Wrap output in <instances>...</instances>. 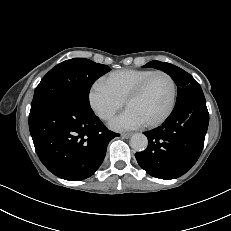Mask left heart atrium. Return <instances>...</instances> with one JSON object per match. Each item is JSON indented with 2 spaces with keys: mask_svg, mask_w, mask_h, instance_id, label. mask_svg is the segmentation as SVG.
Listing matches in <instances>:
<instances>
[{
  "mask_svg": "<svg viewBox=\"0 0 231 231\" xmlns=\"http://www.w3.org/2000/svg\"><path fill=\"white\" fill-rule=\"evenodd\" d=\"M143 125H145V122L130 109H126L110 123L111 128L114 130H132Z\"/></svg>",
  "mask_w": 231,
  "mask_h": 231,
  "instance_id": "obj_1",
  "label": "left heart atrium"
}]
</instances>
